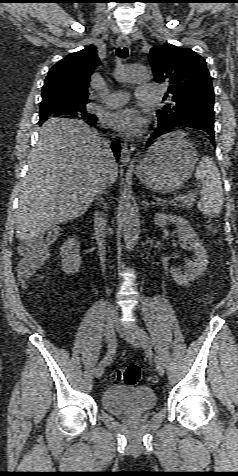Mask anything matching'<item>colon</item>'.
<instances>
[{
    "instance_id": "obj_1",
    "label": "colon",
    "mask_w": 238,
    "mask_h": 476,
    "mask_svg": "<svg viewBox=\"0 0 238 476\" xmlns=\"http://www.w3.org/2000/svg\"><path fill=\"white\" fill-rule=\"evenodd\" d=\"M215 228L212 227V230ZM55 237V233L51 235V239ZM20 261L17 271L21 280L29 279L34 272L42 265L47 254V245L40 240H32L21 245ZM141 378V370L137 365H129L120 369H116L112 373V381L115 384L135 385Z\"/></svg>"
}]
</instances>
